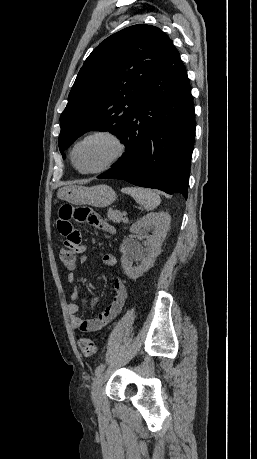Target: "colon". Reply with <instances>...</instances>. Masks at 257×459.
<instances>
[{"label":"colon","instance_id":"5ec220e1","mask_svg":"<svg viewBox=\"0 0 257 459\" xmlns=\"http://www.w3.org/2000/svg\"><path fill=\"white\" fill-rule=\"evenodd\" d=\"M59 258L60 262L66 267H73L76 263L74 251H67L65 246L60 249ZM79 348L85 356H92L96 352V346L94 342L86 337H83L79 340Z\"/></svg>","mask_w":257,"mask_h":459}]
</instances>
